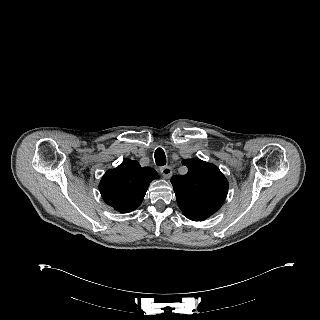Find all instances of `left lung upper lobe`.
I'll return each mask as SVG.
<instances>
[{
	"instance_id": "1",
	"label": "left lung upper lobe",
	"mask_w": 320,
	"mask_h": 320,
	"mask_svg": "<svg viewBox=\"0 0 320 320\" xmlns=\"http://www.w3.org/2000/svg\"><path fill=\"white\" fill-rule=\"evenodd\" d=\"M186 175L171 178L176 200L182 212L205 220L220 209L228 192V181L214 165L199 158L186 159Z\"/></svg>"
}]
</instances>
